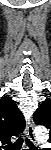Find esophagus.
I'll list each match as a JSON object with an SVG mask.
<instances>
[{
    "label": "esophagus",
    "mask_w": 51,
    "mask_h": 150,
    "mask_svg": "<svg viewBox=\"0 0 51 150\" xmlns=\"http://www.w3.org/2000/svg\"><path fill=\"white\" fill-rule=\"evenodd\" d=\"M26 134L29 138V140L32 143H35V137H34V131H33V122L30 120L26 126Z\"/></svg>",
    "instance_id": "34e87169"
}]
</instances>
